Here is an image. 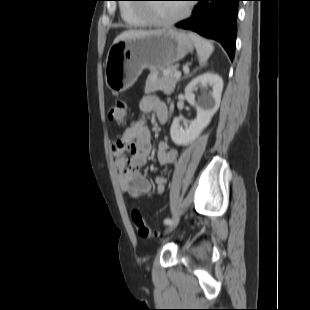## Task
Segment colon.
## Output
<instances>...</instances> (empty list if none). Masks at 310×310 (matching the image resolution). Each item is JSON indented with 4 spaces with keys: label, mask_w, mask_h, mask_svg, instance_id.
<instances>
[{
    "label": "colon",
    "mask_w": 310,
    "mask_h": 310,
    "mask_svg": "<svg viewBox=\"0 0 310 310\" xmlns=\"http://www.w3.org/2000/svg\"><path fill=\"white\" fill-rule=\"evenodd\" d=\"M108 117L111 121L118 125H124L127 121V104L123 100L117 101L108 112ZM131 218L136 227V230L142 238H153L156 232L145 222L141 212L138 209L131 211Z\"/></svg>",
    "instance_id": "5ec220e1"
}]
</instances>
